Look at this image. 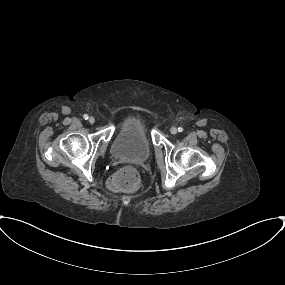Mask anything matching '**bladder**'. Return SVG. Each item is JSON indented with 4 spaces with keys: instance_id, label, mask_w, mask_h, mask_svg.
I'll list each match as a JSON object with an SVG mask.
<instances>
[{
    "instance_id": "31cf9c89",
    "label": "bladder",
    "mask_w": 285,
    "mask_h": 285,
    "mask_svg": "<svg viewBox=\"0 0 285 285\" xmlns=\"http://www.w3.org/2000/svg\"><path fill=\"white\" fill-rule=\"evenodd\" d=\"M151 153L148 121L140 112H134L119 126L111 145V155L116 159L145 161Z\"/></svg>"
}]
</instances>
